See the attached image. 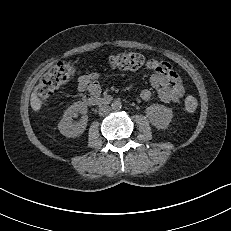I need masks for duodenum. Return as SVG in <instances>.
Masks as SVG:
<instances>
[{
    "label": "duodenum",
    "instance_id": "duodenum-1",
    "mask_svg": "<svg viewBox=\"0 0 231 231\" xmlns=\"http://www.w3.org/2000/svg\"><path fill=\"white\" fill-rule=\"evenodd\" d=\"M111 101H112L111 96L99 97V96H93L87 94L83 97V102L89 106H94V105L102 106V105L109 104Z\"/></svg>",
    "mask_w": 231,
    "mask_h": 231
}]
</instances>
